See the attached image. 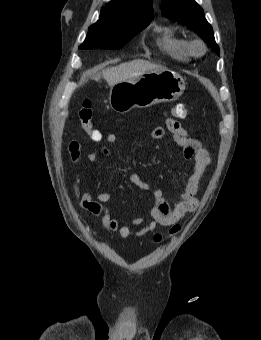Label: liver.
<instances>
[{
    "label": "liver",
    "mask_w": 261,
    "mask_h": 340,
    "mask_svg": "<svg viewBox=\"0 0 261 340\" xmlns=\"http://www.w3.org/2000/svg\"><path fill=\"white\" fill-rule=\"evenodd\" d=\"M164 67L153 64L146 60L136 59L130 62L122 63L118 66L108 68L102 72L103 78L110 87L115 84L133 79L145 72L162 71Z\"/></svg>",
    "instance_id": "6515ba94"
}]
</instances>
